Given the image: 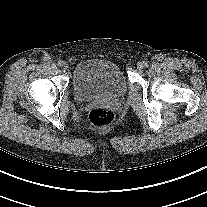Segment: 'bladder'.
<instances>
[{"mask_svg": "<svg viewBox=\"0 0 207 207\" xmlns=\"http://www.w3.org/2000/svg\"><path fill=\"white\" fill-rule=\"evenodd\" d=\"M72 90L79 102L115 99L127 91L125 76L118 65L104 59L85 60L76 65L72 75Z\"/></svg>", "mask_w": 207, "mask_h": 207, "instance_id": "obj_1", "label": "bladder"}]
</instances>
